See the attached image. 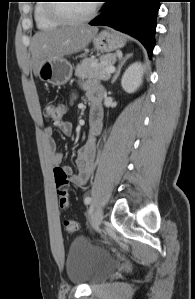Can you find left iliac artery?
Returning <instances> with one entry per match:
<instances>
[{
	"label": "left iliac artery",
	"instance_id": "44dca946",
	"mask_svg": "<svg viewBox=\"0 0 195 299\" xmlns=\"http://www.w3.org/2000/svg\"><path fill=\"white\" fill-rule=\"evenodd\" d=\"M91 201H92V199H91V197H89V196L86 197L85 200H84L85 204H90Z\"/></svg>",
	"mask_w": 195,
	"mask_h": 299
}]
</instances>
